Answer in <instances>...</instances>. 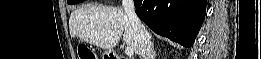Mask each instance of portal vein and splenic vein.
<instances>
[{"label": "portal vein and splenic vein", "mask_w": 261, "mask_h": 59, "mask_svg": "<svg viewBox=\"0 0 261 59\" xmlns=\"http://www.w3.org/2000/svg\"><path fill=\"white\" fill-rule=\"evenodd\" d=\"M125 53L127 56H133L134 55V50L132 47H126Z\"/></svg>", "instance_id": "obj_1"}]
</instances>
